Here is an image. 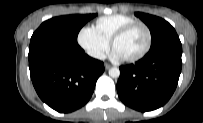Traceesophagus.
I'll return each mask as SVG.
<instances>
[{
	"mask_svg": "<svg viewBox=\"0 0 203 123\" xmlns=\"http://www.w3.org/2000/svg\"><path fill=\"white\" fill-rule=\"evenodd\" d=\"M111 68V65L110 64H105V69H110Z\"/></svg>",
	"mask_w": 203,
	"mask_h": 123,
	"instance_id": "1",
	"label": "esophagus"
}]
</instances>
